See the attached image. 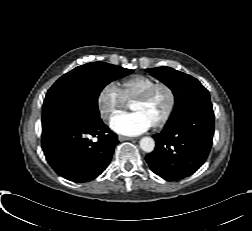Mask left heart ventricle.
Wrapping results in <instances>:
<instances>
[{"label":"left heart ventricle","instance_id":"obj_1","mask_svg":"<svg viewBox=\"0 0 252 231\" xmlns=\"http://www.w3.org/2000/svg\"><path fill=\"white\" fill-rule=\"evenodd\" d=\"M169 104L168 93L165 89H158L148 102L134 101L131 109L143 113L152 124L157 122L166 112Z\"/></svg>","mask_w":252,"mask_h":231}]
</instances>
